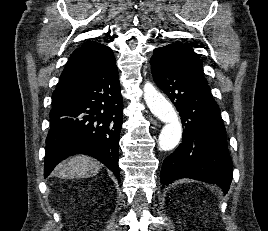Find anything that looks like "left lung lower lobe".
I'll return each instance as SVG.
<instances>
[{"mask_svg":"<svg viewBox=\"0 0 268 231\" xmlns=\"http://www.w3.org/2000/svg\"><path fill=\"white\" fill-rule=\"evenodd\" d=\"M150 62L155 83L176 107L184 127L182 144L163 161L161 183L191 178L215 183L227 193L233 168L225 127L209 85L157 59Z\"/></svg>","mask_w":268,"mask_h":231,"instance_id":"1","label":"left lung lower lobe"}]
</instances>
